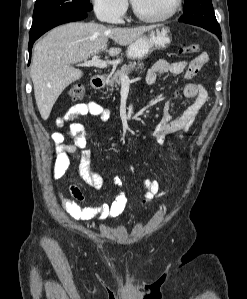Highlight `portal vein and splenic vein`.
<instances>
[{
    "label": "portal vein and splenic vein",
    "mask_w": 247,
    "mask_h": 299,
    "mask_svg": "<svg viewBox=\"0 0 247 299\" xmlns=\"http://www.w3.org/2000/svg\"><path fill=\"white\" fill-rule=\"evenodd\" d=\"M77 66H80V67L81 66L82 67L83 66L84 67L94 66V67H97V68L104 69V68H107V63H106V61L99 59L98 56L94 55L91 60H86L83 63L77 64ZM121 79L122 80H129L127 75H122Z\"/></svg>",
    "instance_id": "obj_1"
}]
</instances>
